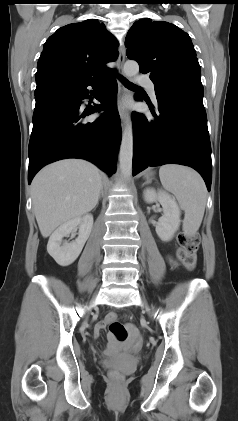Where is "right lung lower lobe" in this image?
Segmentation results:
<instances>
[{
  "label": "right lung lower lobe",
  "mask_w": 238,
  "mask_h": 421,
  "mask_svg": "<svg viewBox=\"0 0 238 421\" xmlns=\"http://www.w3.org/2000/svg\"><path fill=\"white\" fill-rule=\"evenodd\" d=\"M88 86L99 88L95 98L101 105L84 106ZM117 82L112 74L89 80L43 79L37 81L33 130L29 142L28 183L46 164L82 158L108 175L115 171L121 139V122L116 109ZM105 113L94 121L85 118Z\"/></svg>",
  "instance_id": "98d812e1"
}]
</instances>
